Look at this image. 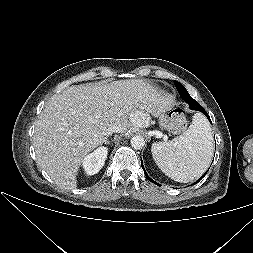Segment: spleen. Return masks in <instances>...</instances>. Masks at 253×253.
<instances>
[{
  "mask_svg": "<svg viewBox=\"0 0 253 253\" xmlns=\"http://www.w3.org/2000/svg\"><path fill=\"white\" fill-rule=\"evenodd\" d=\"M213 135L204 115L197 113L189 128L177 138L152 144V157L168 177L181 183L200 177L213 156Z\"/></svg>",
  "mask_w": 253,
  "mask_h": 253,
  "instance_id": "spleen-1",
  "label": "spleen"
}]
</instances>
